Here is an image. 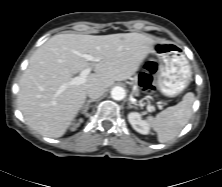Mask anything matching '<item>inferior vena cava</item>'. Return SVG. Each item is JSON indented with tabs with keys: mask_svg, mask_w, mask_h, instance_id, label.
<instances>
[{
	"mask_svg": "<svg viewBox=\"0 0 222 187\" xmlns=\"http://www.w3.org/2000/svg\"><path fill=\"white\" fill-rule=\"evenodd\" d=\"M105 92V88L101 87V86H93L90 87L87 91V95L88 97H90L91 99H97L99 97H101Z\"/></svg>",
	"mask_w": 222,
	"mask_h": 187,
	"instance_id": "obj_1",
	"label": "inferior vena cava"
}]
</instances>
